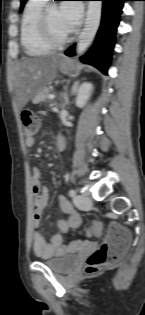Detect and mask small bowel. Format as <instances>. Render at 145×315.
Listing matches in <instances>:
<instances>
[{
  "instance_id": "c3829d8e",
  "label": "small bowel",
  "mask_w": 145,
  "mask_h": 315,
  "mask_svg": "<svg viewBox=\"0 0 145 315\" xmlns=\"http://www.w3.org/2000/svg\"><path fill=\"white\" fill-rule=\"evenodd\" d=\"M58 140L62 141L63 138L59 137ZM35 142V136H30L26 138L25 145L27 147H32ZM40 178V170L37 167H34L31 171V189L34 194V228H38L40 226L42 213L47 206L50 196L49 189L41 185ZM58 203L61 211L66 214L67 218H58L55 220L57 229L61 233H65L71 228H78L80 226L81 219L69 201L64 196H60ZM32 245L35 255L40 258L61 256L66 252L61 234H53L47 242L44 235L40 231L35 230L32 234Z\"/></svg>"
}]
</instances>
